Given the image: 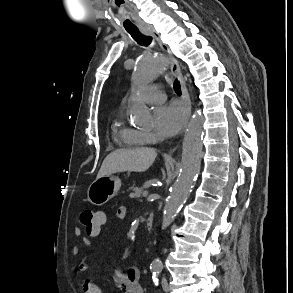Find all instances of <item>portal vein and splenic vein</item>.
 I'll list each match as a JSON object with an SVG mask.
<instances>
[{"label":"portal vein and splenic vein","instance_id":"1","mask_svg":"<svg viewBox=\"0 0 293 293\" xmlns=\"http://www.w3.org/2000/svg\"><path fill=\"white\" fill-rule=\"evenodd\" d=\"M148 194H149L148 191H144V192H143V196H144V197H147Z\"/></svg>","mask_w":293,"mask_h":293}]
</instances>
